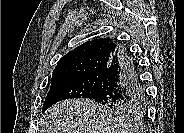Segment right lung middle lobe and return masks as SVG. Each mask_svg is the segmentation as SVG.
<instances>
[{
	"mask_svg": "<svg viewBox=\"0 0 184 133\" xmlns=\"http://www.w3.org/2000/svg\"><path fill=\"white\" fill-rule=\"evenodd\" d=\"M103 73H95L79 77L62 78L51 82L50 90L43 104L42 112L58 101L71 98L93 99L102 87ZM145 98L133 104H100L103 111L127 118L138 117L145 106Z\"/></svg>",
	"mask_w": 184,
	"mask_h": 133,
	"instance_id": "dd1d6c3e",
	"label": "right lung middle lobe"
}]
</instances>
